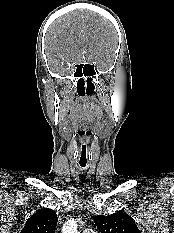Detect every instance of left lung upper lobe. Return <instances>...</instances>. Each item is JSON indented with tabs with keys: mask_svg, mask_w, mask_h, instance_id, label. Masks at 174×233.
Here are the masks:
<instances>
[{
	"mask_svg": "<svg viewBox=\"0 0 174 233\" xmlns=\"http://www.w3.org/2000/svg\"><path fill=\"white\" fill-rule=\"evenodd\" d=\"M93 220L101 233H141L133 218L121 211L94 216Z\"/></svg>",
	"mask_w": 174,
	"mask_h": 233,
	"instance_id": "1",
	"label": "left lung upper lobe"
}]
</instances>
